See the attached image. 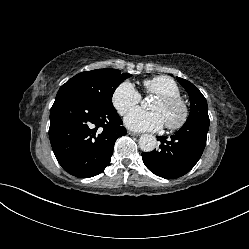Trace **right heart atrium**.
Segmentation results:
<instances>
[{
  "label": "right heart atrium",
  "instance_id": "obj_1",
  "mask_svg": "<svg viewBox=\"0 0 249 249\" xmlns=\"http://www.w3.org/2000/svg\"><path fill=\"white\" fill-rule=\"evenodd\" d=\"M141 100L140 93L129 81L121 82L113 91L111 102L120 115L127 113L133 106Z\"/></svg>",
  "mask_w": 249,
  "mask_h": 249
}]
</instances>
